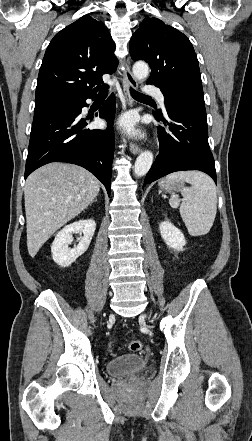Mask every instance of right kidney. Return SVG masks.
Masks as SVG:
<instances>
[{"label":"right kidney","mask_w":252,"mask_h":441,"mask_svg":"<svg viewBox=\"0 0 252 441\" xmlns=\"http://www.w3.org/2000/svg\"><path fill=\"white\" fill-rule=\"evenodd\" d=\"M96 229L94 220H80L65 226L60 230L51 246L52 258L61 267L71 265L79 256L88 249ZM80 232L77 247L69 248L68 245L73 241V233Z\"/></svg>","instance_id":"obj_1"}]
</instances>
